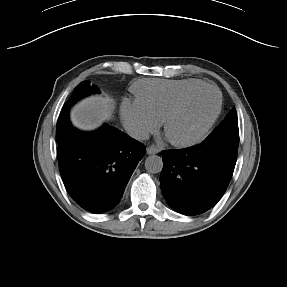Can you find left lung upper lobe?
Listing matches in <instances>:
<instances>
[{
    "label": "left lung upper lobe",
    "instance_id": "obj_1",
    "mask_svg": "<svg viewBox=\"0 0 287 287\" xmlns=\"http://www.w3.org/2000/svg\"><path fill=\"white\" fill-rule=\"evenodd\" d=\"M206 140L237 153L239 129L235 107L228 113L219 126L210 133Z\"/></svg>",
    "mask_w": 287,
    "mask_h": 287
}]
</instances>
